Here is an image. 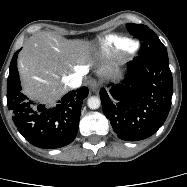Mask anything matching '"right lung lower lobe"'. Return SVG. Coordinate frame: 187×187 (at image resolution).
<instances>
[{
  "label": "right lung lower lobe",
  "mask_w": 187,
  "mask_h": 187,
  "mask_svg": "<svg viewBox=\"0 0 187 187\" xmlns=\"http://www.w3.org/2000/svg\"><path fill=\"white\" fill-rule=\"evenodd\" d=\"M19 51L12 58L7 81V105L18 131L28 142L40 148L68 145L77 135L81 105L89 93L88 88L67 93L52 108L34 103L21 92L17 70Z\"/></svg>",
  "instance_id": "1"
}]
</instances>
